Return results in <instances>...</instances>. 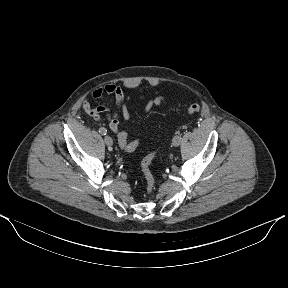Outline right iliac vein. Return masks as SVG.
<instances>
[{"instance_id":"right-iliac-vein-1","label":"right iliac vein","mask_w":288,"mask_h":288,"mask_svg":"<svg viewBox=\"0 0 288 288\" xmlns=\"http://www.w3.org/2000/svg\"><path fill=\"white\" fill-rule=\"evenodd\" d=\"M104 142L107 146H112L113 145V140L109 135H106L104 137Z\"/></svg>"}]
</instances>
